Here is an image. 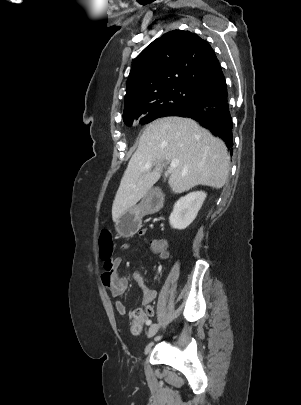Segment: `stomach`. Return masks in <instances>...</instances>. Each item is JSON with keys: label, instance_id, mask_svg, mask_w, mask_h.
I'll return each mask as SVG.
<instances>
[{"label": "stomach", "instance_id": "obj_1", "mask_svg": "<svg viewBox=\"0 0 301 405\" xmlns=\"http://www.w3.org/2000/svg\"><path fill=\"white\" fill-rule=\"evenodd\" d=\"M141 218L140 208L127 210L115 223L117 232L123 236L134 234L141 227Z\"/></svg>", "mask_w": 301, "mask_h": 405}]
</instances>
